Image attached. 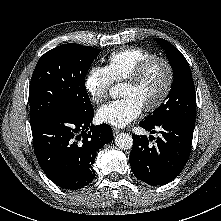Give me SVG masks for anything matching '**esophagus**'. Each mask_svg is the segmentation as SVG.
I'll return each mask as SVG.
<instances>
[{"instance_id":"1","label":"esophagus","mask_w":221,"mask_h":221,"mask_svg":"<svg viewBox=\"0 0 221 221\" xmlns=\"http://www.w3.org/2000/svg\"><path fill=\"white\" fill-rule=\"evenodd\" d=\"M119 132H121V129L115 127L113 128V134H117Z\"/></svg>"}]
</instances>
